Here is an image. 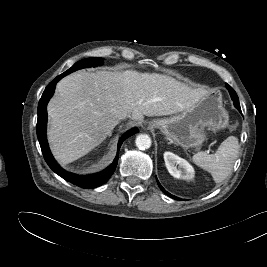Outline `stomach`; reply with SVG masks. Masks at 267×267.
I'll use <instances>...</instances> for the list:
<instances>
[{
    "label": "stomach",
    "instance_id": "1",
    "mask_svg": "<svg viewBox=\"0 0 267 267\" xmlns=\"http://www.w3.org/2000/svg\"><path fill=\"white\" fill-rule=\"evenodd\" d=\"M149 125L160 129L169 140L184 149H198L207 140L206 131L216 133L229 126V115L221 93L208 92L193 108L169 118L155 119Z\"/></svg>",
    "mask_w": 267,
    "mask_h": 267
}]
</instances>
